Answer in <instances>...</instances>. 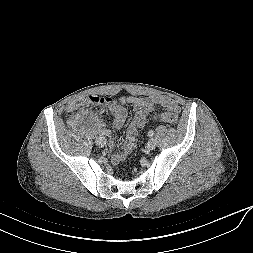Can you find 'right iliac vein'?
<instances>
[{
    "label": "right iliac vein",
    "mask_w": 253,
    "mask_h": 253,
    "mask_svg": "<svg viewBox=\"0 0 253 253\" xmlns=\"http://www.w3.org/2000/svg\"><path fill=\"white\" fill-rule=\"evenodd\" d=\"M95 143L99 147H104L106 145V141L102 137H97L96 140H95Z\"/></svg>",
    "instance_id": "obj_1"
}]
</instances>
